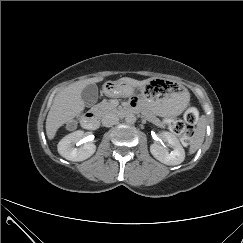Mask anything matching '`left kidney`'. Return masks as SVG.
Instances as JSON below:
<instances>
[{"mask_svg": "<svg viewBox=\"0 0 243 243\" xmlns=\"http://www.w3.org/2000/svg\"><path fill=\"white\" fill-rule=\"evenodd\" d=\"M162 138L173 150L169 152L168 148L154 143L150 146V152L154 158L166 165L173 166L182 163L185 159V151L178 138L174 134L167 131L162 132Z\"/></svg>", "mask_w": 243, "mask_h": 243, "instance_id": "obj_1", "label": "left kidney"}]
</instances>
